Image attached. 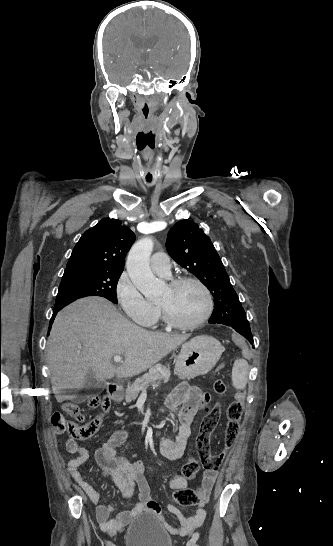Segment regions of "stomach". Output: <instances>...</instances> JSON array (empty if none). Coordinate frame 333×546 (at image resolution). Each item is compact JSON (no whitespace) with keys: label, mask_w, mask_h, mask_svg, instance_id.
<instances>
[{"label":"stomach","mask_w":333,"mask_h":546,"mask_svg":"<svg viewBox=\"0 0 333 546\" xmlns=\"http://www.w3.org/2000/svg\"><path fill=\"white\" fill-rule=\"evenodd\" d=\"M223 347L214 337L198 335L183 344L175 361V372L183 379L207 374L218 362Z\"/></svg>","instance_id":"obj_1"}]
</instances>
